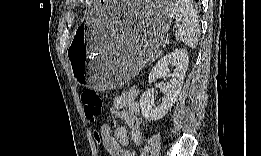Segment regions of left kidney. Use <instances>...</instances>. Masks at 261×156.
Returning a JSON list of instances; mask_svg holds the SVG:
<instances>
[{
    "label": "left kidney",
    "mask_w": 261,
    "mask_h": 156,
    "mask_svg": "<svg viewBox=\"0 0 261 156\" xmlns=\"http://www.w3.org/2000/svg\"><path fill=\"white\" fill-rule=\"evenodd\" d=\"M189 63L188 53L185 49H176L175 51L162 57L153 67L149 74V83L155 79H166L172 76L170 83L163 86V96L158 105L152 101L150 92L143 93L140 99L141 113L145 120L156 121L163 118L175 103L184 83L187 67ZM169 65L175 66L170 72Z\"/></svg>",
    "instance_id": "5707ae66"
}]
</instances>
